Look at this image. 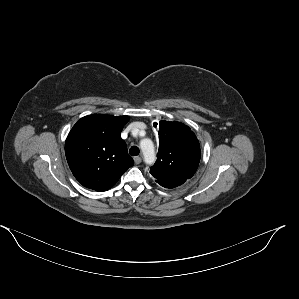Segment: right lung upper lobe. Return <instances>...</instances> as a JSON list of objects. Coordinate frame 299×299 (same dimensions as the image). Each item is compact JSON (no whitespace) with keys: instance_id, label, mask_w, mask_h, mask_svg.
<instances>
[{"instance_id":"right-lung-upper-lobe-1","label":"right lung upper lobe","mask_w":299,"mask_h":299,"mask_svg":"<svg viewBox=\"0 0 299 299\" xmlns=\"http://www.w3.org/2000/svg\"><path fill=\"white\" fill-rule=\"evenodd\" d=\"M128 116L93 114L81 118L65 142V153L75 178L85 187L110 189L134 161L120 134Z\"/></svg>"}]
</instances>
